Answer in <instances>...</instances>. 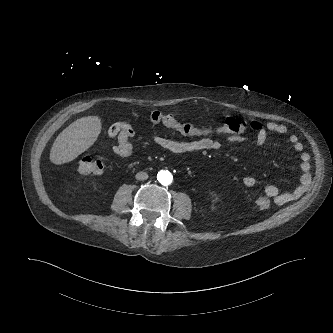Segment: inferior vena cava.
Returning a JSON list of instances; mask_svg holds the SVG:
<instances>
[{"mask_svg": "<svg viewBox=\"0 0 333 333\" xmlns=\"http://www.w3.org/2000/svg\"><path fill=\"white\" fill-rule=\"evenodd\" d=\"M135 177H136L137 180H141V181L142 180H147L148 179V174L146 172L141 171V172H138Z\"/></svg>", "mask_w": 333, "mask_h": 333, "instance_id": "inferior-vena-cava-1", "label": "inferior vena cava"}]
</instances>
